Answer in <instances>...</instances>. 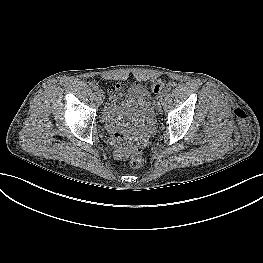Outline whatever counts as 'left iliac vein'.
Here are the masks:
<instances>
[{
	"mask_svg": "<svg viewBox=\"0 0 263 263\" xmlns=\"http://www.w3.org/2000/svg\"><path fill=\"white\" fill-rule=\"evenodd\" d=\"M162 101V98L160 96H154V102L156 104H159Z\"/></svg>",
	"mask_w": 263,
	"mask_h": 263,
	"instance_id": "obj_1",
	"label": "left iliac vein"
}]
</instances>
